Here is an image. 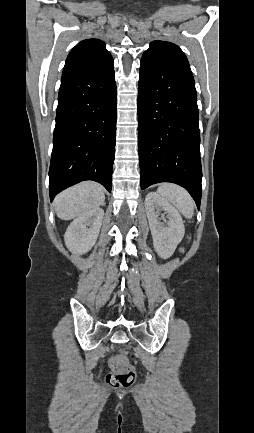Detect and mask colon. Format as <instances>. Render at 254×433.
<instances>
[{
  "mask_svg": "<svg viewBox=\"0 0 254 433\" xmlns=\"http://www.w3.org/2000/svg\"><path fill=\"white\" fill-rule=\"evenodd\" d=\"M113 372L107 376V382L114 387L128 388L135 381L133 367L124 359L117 358L112 361Z\"/></svg>",
  "mask_w": 254,
  "mask_h": 433,
  "instance_id": "5ec220e1",
  "label": "colon"
}]
</instances>
